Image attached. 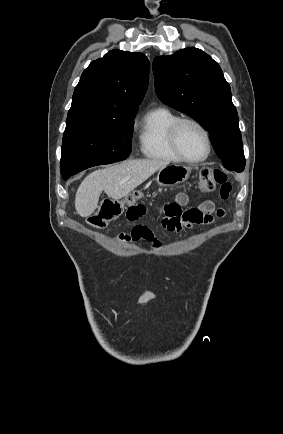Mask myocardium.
I'll return each mask as SVG.
<instances>
[{
    "mask_svg": "<svg viewBox=\"0 0 283 434\" xmlns=\"http://www.w3.org/2000/svg\"><path fill=\"white\" fill-rule=\"evenodd\" d=\"M186 123H190V124L195 125L204 135L205 142H206V152L200 158L191 159V158L186 157L179 147V143H178L179 129L183 124H186ZM169 142H170V146H171L173 152L175 153V155L181 161L186 162V163L196 164V163L203 162L210 156L211 151H212V143H211V138H210V134H209L208 130L201 122H199L198 120H196L194 118H190V117L178 118L172 124V126L169 130Z\"/></svg>",
    "mask_w": 283,
    "mask_h": 434,
    "instance_id": "1",
    "label": "myocardium"
}]
</instances>
